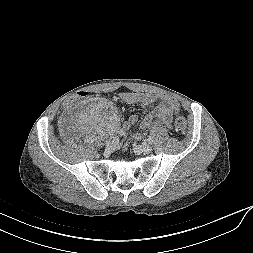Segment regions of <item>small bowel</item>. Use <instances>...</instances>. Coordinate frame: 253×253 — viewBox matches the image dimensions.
I'll list each match as a JSON object with an SVG mask.
<instances>
[{
	"instance_id": "1",
	"label": "small bowel",
	"mask_w": 253,
	"mask_h": 253,
	"mask_svg": "<svg viewBox=\"0 0 253 253\" xmlns=\"http://www.w3.org/2000/svg\"><path fill=\"white\" fill-rule=\"evenodd\" d=\"M123 102L127 104L140 103L143 106L152 107V112L147 114L140 123V132L135 134L136 139L143 136L144 131L153 130L158 127H170L173 117L180 111V105L177 100L171 97L159 98L154 94L126 92L120 95ZM138 121L136 115H132L124 122L125 131Z\"/></svg>"
}]
</instances>
